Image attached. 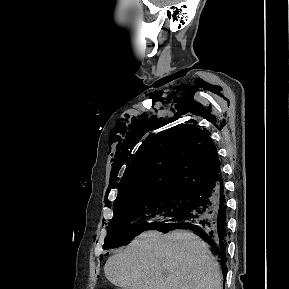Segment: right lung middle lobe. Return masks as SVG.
Returning <instances> with one entry per match:
<instances>
[{
  "mask_svg": "<svg viewBox=\"0 0 289 289\" xmlns=\"http://www.w3.org/2000/svg\"><path fill=\"white\" fill-rule=\"evenodd\" d=\"M193 199L192 191L174 190L134 196L114 204L103 249L116 248L146 230L159 228L186 213Z\"/></svg>",
  "mask_w": 289,
  "mask_h": 289,
  "instance_id": "obj_1",
  "label": "right lung middle lobe"
}]
</instances>
